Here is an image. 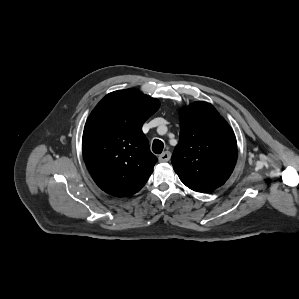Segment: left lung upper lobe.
I'll return each mask as SVG.
<instances>
[{
  "label": "left lung upper lobe",
  "instance_id": "obj_1",
  "mask_svg": "<svg viewBox=\"0 0 299 299\" xmlns=\"http://www.w3.org/2000/svg\"><path fill=\"white\" fill-rule=\"evenodd\" d=\"M180 140L171 161L180 180L206 193L223 185L237 160L232 128L207 102H195L180 111Z\"/></svg>",
  "mask_w": 299,
  "mask_h": 299
}]
</instances>
